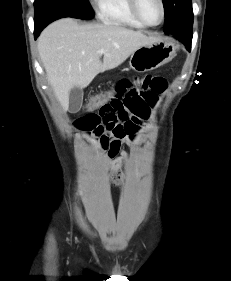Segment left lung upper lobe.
Listing matches in <instances>:
<instances>
[{"label":"left lung upper lobe","instance_id":"1","mask_svg":"<svg viewBox=\"0 0 231 281\" xmlns=\"http://www.w3.org/2000/svg\"><path fill=\"white\" fill-rule=\"evenodd\" d=\"M165 10L164 31L171 33L173 29L193 23L191 0H163Z\"/></svg>","mask_w":231,"mask_h":281}]
</instances>
